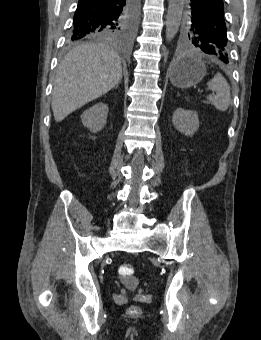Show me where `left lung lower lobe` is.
<instances>
[{
	"mask_svg": "<svg viewBox=\"0 0 261 340\" xmlns=\"http://www.w3.org/2000/svg\"><path fill=\"white\" fill-rule=\"evenodd\" d=\"M187 2L193 15L208 17L224 14L223 0H187Z\"/></svg>",
	"mask_w": 261,
	"mask_h": 340,
	"instance_id": "0a47b994",
	"label": "left lung lower lobe"
}]
</instances>
